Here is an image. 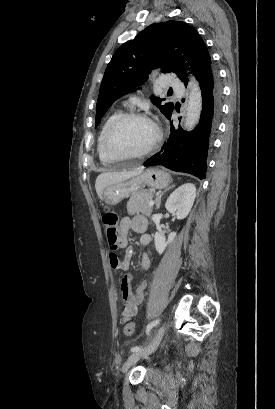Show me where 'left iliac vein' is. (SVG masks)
I'll return each instance as SVG.
<instances>
[{
  "label": "left iliac vein",
  "mask_w": 275,
  "mask_h": 409,
  "mask_svg": "<svg viewBox=\"0 0 275 409\" xmlns=\"http://www.w3.org/2000/svg\"><path fill=\"white\" fill-rule=\"evenodd\" d=\"M164 332H165V327L164 326L159 327L151 343L146 348L132 353L127 358V361L123 365L122 372L126 373L129 370V368H131L137 361H139L140 359L146 356L151 355L158 348L162 340V337L164 336Z\"/></svg>",
  "instance_id": "1"
}]
</instances>
